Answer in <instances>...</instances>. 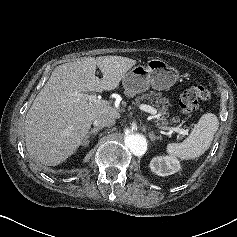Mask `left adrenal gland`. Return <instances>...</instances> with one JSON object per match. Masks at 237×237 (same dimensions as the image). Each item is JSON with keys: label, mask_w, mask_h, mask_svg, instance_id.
I'll return each mask as SVG.
<instances>
[{"label": "left adrenal gland", "mask_w": 237, "mask_h": 237, "mask_svg": "<svg viewBox=\"0 0 237 237\" xmlns=\"http://www.w3.org/2000/svg\"><path fill=\"white\" fill-rule=\"evenodd\" d=\"M149 138L152 142L156 141V140H161L162 137L161 136H155L153 132H149Z\"/></svg>", "instance_id": "left-adrenal-gland-1"}]
</instances>
